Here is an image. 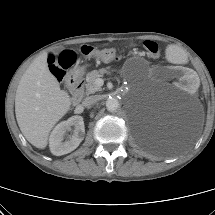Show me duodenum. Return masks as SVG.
Listing matches in <instances>:
<instances>
[{"instance_id":"410a0bca","label":"duodenum","mask_w":215,"mask_h":215,"mask_svg":"<svg viewBox=\"0 0 215 215\" xmlns=\"http://www.w3.org/2000/svg\"><path fill=\"white\" fill-rule=\"evenodd\" d=\"M67 85L72 94V103L78 104L83 95V79L80 71H71L67 76Z\"/></svg>"}]
</instances>
